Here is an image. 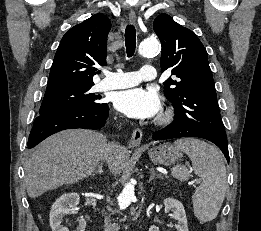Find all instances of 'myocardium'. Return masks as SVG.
Instances as JSON below:
<instances>
[{"label":"myocardium","instance_id":"obj_1","mask_svg":"<svg viewBox=\"0 0 261 231\" xmlns=\"http://www.w3.org/2000/svg\"><path fill=\"white\" fill-rule=\"evenodd\" d=\"M172 118H173V110L171 108H166L160 113V115L156 119V123L159 125L168 124L171 122Z\"/></svg>","mask_w":261,"mask_h":231}]
</instances>
